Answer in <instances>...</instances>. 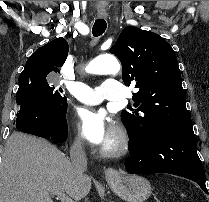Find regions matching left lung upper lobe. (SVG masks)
I'll return each instance as SVG.
<instances>
[{"instance_id": "obj_1", "label": "left lung upper lobe", "mask_w": 209, "mask_h": 202, "mask_svg": "<svg viewBox=\"0 0 209 202\" xmlns=\"http://www.w3.org/2000/svg\"><path fill=\"white\" fill-rule=\"evenodd\" d=\"M122 64L126 85L139 89L133 106L122 111L129 139L149 141L162 133L192 125L176 54L156 33L126 27L110 49Z\"/></svg>"}]
</instances>
